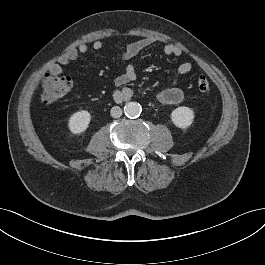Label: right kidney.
Masks as SVG:
<instances>
[{
	"mask_svg": "<svg viewBox=\"0 0 265 265\" xmlns=\"http://www.w3.org/2000/svg\"><path fill=\"white\" fill-rule=\"evenodd\" d=\"M91 115L88 111L82 110L75 112L69 118L68 128L73 134H81L86 131L89 126Z\"/></svg>",
	"mask_w": 265,
	"mask_h": 265,
	"instance_id": "1",
	"label": "right kidney"
}]
</instances>
